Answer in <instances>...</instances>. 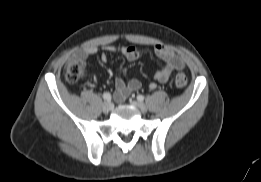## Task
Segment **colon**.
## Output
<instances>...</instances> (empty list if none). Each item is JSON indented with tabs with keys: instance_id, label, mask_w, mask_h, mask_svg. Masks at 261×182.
Wrapping results in <instances>:
<instances>
[{
	"instance_id": "5ec220e1",
	"label": "colon",
	"mask_w": 261,
	"mask_h": 182,
	"mask_svg": "<svg viewBox=\"0 0 261 182\" xmlns=\"http://www.w3.org/2000/svg\"><path fill=\"white\" fill-rule=\"evenodd\" d=\"M64 75L69 84H75L83 75V64L75 59L70 60L65 66ZM174 82L178 88H183L187 84V78L184 74H177Z\"/></svg>"
}]
</instances>
